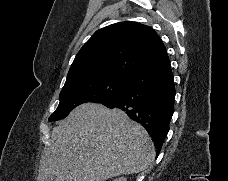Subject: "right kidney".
Instances as JSON below:
<instances>
[{
  "label": "right kidney",
  "instance_id": "1",
  "mask_svg": "<svg viewBox=\"0 0 228 181\" xmlns=\"http://www.w3.org/2000/svg\"><path fill=\"white\" fill-rule=\"evenodd\" d=\"M114 181H127V179L125 177H119V179H114Z\"/></svg>",
  "mask_w": 228,
  "mask_h": 181
}]
</instances>
